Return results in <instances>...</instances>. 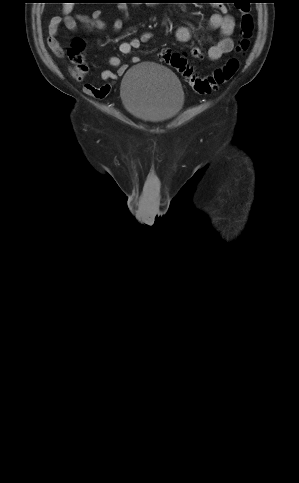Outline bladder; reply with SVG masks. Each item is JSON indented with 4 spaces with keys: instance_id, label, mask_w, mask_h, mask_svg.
<instances>
[{
    "instance_id": "31cf9c89",
    "label": "bladder",
    "mask_w": 299,
    "mask_h": 483,
    "mask_svg": "<svg viewBox=\"0 0 299 483\" xmlns=\"http://www.w3.org/2000/svg\"><path fill=\"white\" fill-rule=\"evenodd\" d=\"M120 95L124 107L148 123H163L175 118L185 102L176 75L151 62L128 69L121 81Z\"/></svg>"
}]
</instances>
